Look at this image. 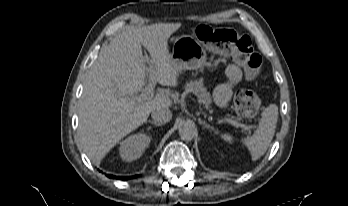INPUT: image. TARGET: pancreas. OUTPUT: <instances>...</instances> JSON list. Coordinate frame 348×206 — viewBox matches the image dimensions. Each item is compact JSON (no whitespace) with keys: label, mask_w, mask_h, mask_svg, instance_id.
Instances as JSON below:
<instances>
[{"label":"pancreas","mask_w":348,"mask_h":206,"mask_svg":"<svg viewBox=\"0 0 348 206\" xmlns=\"http://www.w3.org/2000/svg\"><path fill=\"white\" fill-rule=\"evenodd\" d=\"M185 91L195 94L198 97L199 102L203 104L206 109H210V104L212 102L211 95L207 92L206 87L200 80L187 82L185 85Z\"/></svg>","instance_id":"pancreas-1"}]
</instances>
